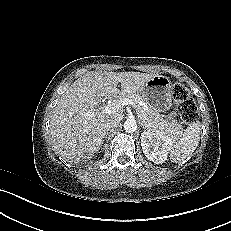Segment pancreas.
I'll list each match as a JSON object with an SVG mask.
<instances>
[{
  "instance_id": "obj_1",
  "label": "pancreas",
  "mask_w": 231,
  "mask_h": 231,
  "mask_svg": "<svg viewBox=\"0 0 231 231\" xmlns=\"http://www.w3.org/2000/svg\"><path fill=\"white\" fill-rule=\"evenodd\" d=\"M125 98L134 102V107L136 108L138 117L141 119L143 125L149 130L156 133L166 134L173 138L180 137L183 131L181 124L164 119L158 111L149 107L139 95L129 94L120 97V100Z\"/></svg>"
}]
</instances>
